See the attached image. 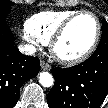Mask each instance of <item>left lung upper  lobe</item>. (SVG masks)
<instances>
[{
	"label": "left lung upper lobe",
	"mask_w": 108,
	"mask_h": 108,
	"mask_svg": "<svg viewBox=\"0 0 108 108\" xmlns=\"http://www.w3.org/2000/svg\"><path fill=\"white\" fill-rule=\"evenodd\" d=\"M97 49L108 50V23L106 22V20H102V36Z\"/></svg>",
	"instance_id": "obj_1"
}]
</instances>
